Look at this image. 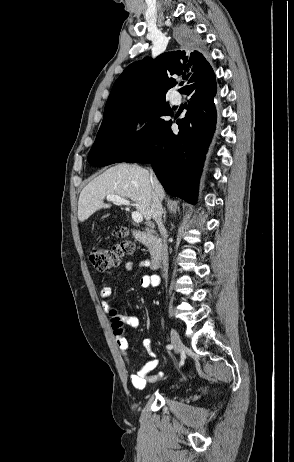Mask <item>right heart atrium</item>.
<instances>
[{
    "mask_svg": "<svg viewBox=\"0 0 294 462\" xmlns=\"http://www.w3.org/2000/svg\"><path fill=\"white\" fill-rule=\"evenodd\" d=\"M149 125V117L145 113H139L133 117L128 126V142L136 144L145 136Z\"/></svg>",
    "mask_w": 294,
    "mask_h": 462,
    "instance_id": "obj_1",
    "label": "right heart atrium"
}]
</instances>
